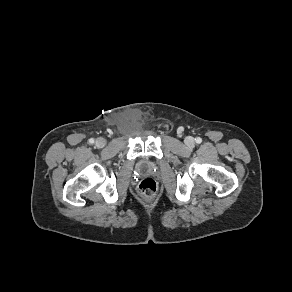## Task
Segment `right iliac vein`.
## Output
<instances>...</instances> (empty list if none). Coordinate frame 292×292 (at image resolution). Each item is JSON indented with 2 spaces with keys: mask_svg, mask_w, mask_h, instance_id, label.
Listing matches in <instances>:
<instances>
[{
  "mask_svg": "<svg viewBox=\"0 0 292 292\" xmlns=\"http://www.w3.org/2000/svg\"><path fill=\"white\" fill-rule=\"evenodd\" d=\"M95 145L98 147V148H103L105 145H106V140L104 138H98L95 142Z\"/></svg>",
  "mask_w": 292,
  "mask_h": 292,
  "instance_id": "63e3f726",
  "label": "right iliac vein"
}]
</instances>
